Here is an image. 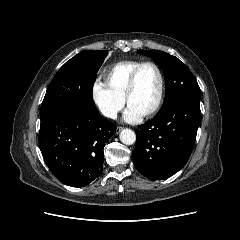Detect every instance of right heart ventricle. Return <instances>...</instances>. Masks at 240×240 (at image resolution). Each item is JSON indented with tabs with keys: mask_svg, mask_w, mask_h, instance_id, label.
<instances>
[{
	"mask_svg": "<svg viewBox=\"0 0 240 240\" xmlns=\"http://www.w3.org/2000/svg\"><path fill=\"white\" fill-rule=\"evenodd\" d=\"M140 63L138 60H124L113 64L105 73L106 83L117 94L125 97L129 77Z\"/></svg>",
	"mask_w": 240,
	"mask_h": 240,
	"instance_id": "1",
	"label": "right heart ventricle"
}]
</instances>
